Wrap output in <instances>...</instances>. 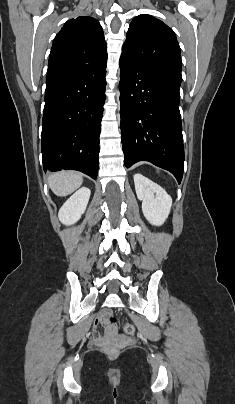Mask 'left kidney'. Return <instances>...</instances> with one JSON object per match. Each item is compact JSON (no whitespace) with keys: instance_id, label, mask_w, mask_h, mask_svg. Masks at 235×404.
<instances>
[{"instance_id":"left-kidney-1","label":"left kidney","mask_w":235,"mask_h":404,"mask_svg":"<svg viewBox=\"0 0 235 404\" xmlns=\"http://www.w3.org/2000/svg\"><path fill=\"white\" fill-rule=\"evenodd\" d=\"M137 198L142 201V211L150 224L161 226L167 219L172 199L158 184L142 174L134 175Z\"/></svg>"}]
</instances>
